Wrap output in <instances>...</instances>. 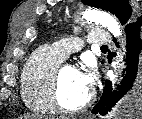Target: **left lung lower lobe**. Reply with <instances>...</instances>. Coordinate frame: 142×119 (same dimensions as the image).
<instances>
[{
	"label": "left lung lower lobe",
	"instance_id": "1",
	"mask_svg": "<svg viewBox=\"0 0 142 119\" xmlns=\"http://www.w3.org/2000/svg\"><path fill=\"white\" fill-rule=\"evenodd\" d=\"M127 37L126 74L121 85L112 92L110 81L105 82L103 94L93 113L106 115L122 99L126 110L142 107V15L125 26ZM116 42V40L114 39ZM117 44V43H116Z\"/></svg>",
	"mask_w": 142,
	"mask_h": 119
}]
</instances>
